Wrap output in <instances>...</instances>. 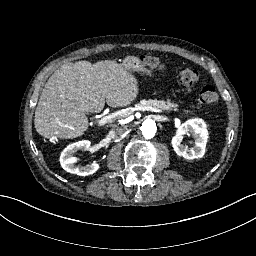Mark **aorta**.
Masks as SVG:
<instances>
[{
	"label": "aorta",
	"mask_w": 256,
	"mask_h": 256,
	"mask_svg": "<svg viewBox=\"0 0 256 256\" xmlns=\"http://www.w3.org/2000/svg\"><path fill=\"white\" fill-rule=\"evenodd\" d=\"M146 126H147L146 132L141 129L142 135H143L145 138H146V137L153 138V137L155 136V133H156V125H155L154 123H152V121H149V122L146 124ZM142 127H143V126H142ZM142 127H141V128H142Z\"/></svg>",
	"instance_id": "762f6f07"
}]
</instances>
